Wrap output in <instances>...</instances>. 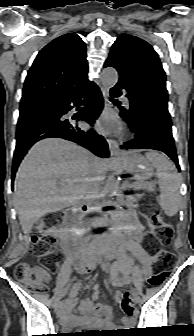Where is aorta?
Here are the masks:
<instances>
[{
	"mask_svg": "<svg viewBox=\"0 0 194 336\" xmlns=\"http://www.w3.org/2000/svg\"><path fill=\"white\" fill-rule=\"evenodd\" d=\"M102 85L106 88L113 87L118 82V73L115 68L107 67L101 73ZM106 197L103 201L105 206H117V197L119 195V180L111 177L105 185Z\"/></svg>",
	"mask_w": 194,
	"mask_h": 336,
	"instance_id": "aorta-1",
	"label": "aorta"
}]
</instances>
